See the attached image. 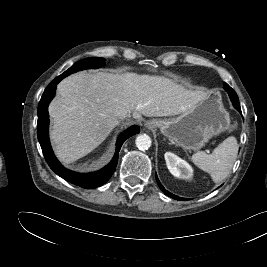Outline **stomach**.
Segmentation results:
<instances>
[{"instance_id":"1","label":"stomach","mask_w":267,"mask_h":267,"mask_svg":"<svg viewBox=\"0 0 267 267\" xmlns=\"http://www.w3.org/2000/svg\"><path fill=\"white\" fill-rule=\"evenodd\" d=\"M153 122L184 150H199L211 138L230 129V116L219 93L206 94L195 108L176 117Z\"/></svg>"}]
</instances>
